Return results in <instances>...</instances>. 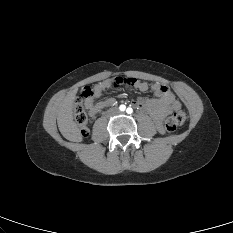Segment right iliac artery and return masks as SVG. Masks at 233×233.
<instances>
[{"instance_id": "1", "label": "right iliac artery", "mask_w": 233, "mask_h": 233, "mask_svg": "<svg viewBox=\"0 0 233 233\" xmlns=\"http://www.w3.org/2000/svg\"><path fill=\"white\" fill-rule=\"evenodd\" d=\"M119 109H120V111H125L126 106L125 105H120Z\"/></svg>"}]
</instances>
